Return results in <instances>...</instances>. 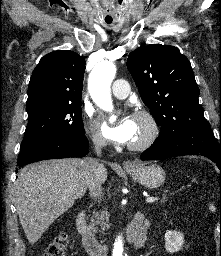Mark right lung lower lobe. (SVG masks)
<instances>
[{"label":"right lung lower lobe","instance_id":"right-lung-lower-lobe-1","mask_svg":"<svg viewBox=\"0 0 221 256\" xmlns=\"http://www.w3.org/2000/svg\"><path fill=\"white\" fill-rule=\"evenodd\" d=\"M88 153L85 133L64 132L42 138L20 149L17 167L46 159L83 157Z\"/></svg>","mask_w":221,"mask_h":256}]
</instances>
